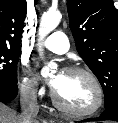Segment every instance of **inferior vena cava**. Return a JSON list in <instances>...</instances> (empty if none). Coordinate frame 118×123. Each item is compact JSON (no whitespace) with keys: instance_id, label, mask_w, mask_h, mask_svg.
<instances>
[{"instance_id":"1","label":"inferior vena cava","mask_w":118,"mask_h":123,"mask_svg":"<svg viewBox=\"0 0 118 123\" xmlns=\"http://www.w3.org/2000/svg\"><path fill=\"white\" fill-rule=\"evenodd\" d=\"M20 92V104L22 109V113L19 116L20 123H35V118L39 112L35 86H22Z\"/></svg>"}]
</instances>
